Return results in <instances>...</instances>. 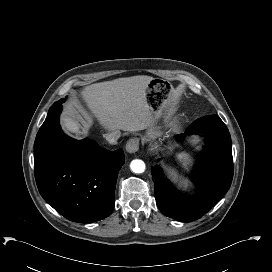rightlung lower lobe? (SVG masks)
I'll return each instance as SVG.
<instances>
[{
    "instance_id": "98d812e1",
    "label": "right lung lower lobe",
    "mask_w": 272,
    "mask_h": 272,
    "mask_svg": "<svg viewBox=\"0 0 272 272\" xmlns=\"http://www.w3.org/2000/svg\"><path fill=\"white\" fill-rule=\"evenodd\" d=\"M62 102L54 103L34 143V169L42 197L61 215L79 223L109 216L115 204L122 149L107 151L89 139L64 135L59 125Z\"/></svg>"
}]
</instances>
